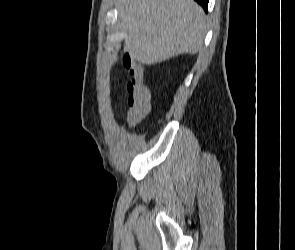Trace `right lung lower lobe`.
I'll return each instance as SVG.
<instances>
[{
    "label": "right lung lower lobe",
    "instance_id": "obj_1",
    "mask_svg": "<svg viewBox=\"0 0 295 250\" xmlns=\"http://www.w3.org/2000/svg\"><path fill=\"white\" fill-rule=\"evenodd\" d=\"M195 1L199 3L204 8L205 11H207L209 0H195Z\"/></svg>",
    "mask_w": 295,
    "mask_h": 250
}]
</instances>
